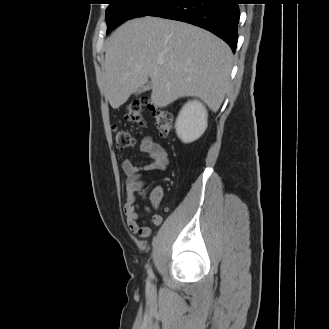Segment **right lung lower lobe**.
Returning a JSON list of instances; mask_svg holds the SVG:
<instances>
[{"label": "right lung lower lobe", "instance_id": "98d812e1", "mask_svg": "<svg viewBox=\"0 0 329 329\" xmlns=\"http://www.w3.org/2000/svg\"><path fill=\"white\" fill-rule=\"evenodd\" d=\"M150 16L190 23L223 39L235 52L238 41V0H172Z\"/></svg>", "mask_w": 329, "mask_h": 329}]
</instances>
